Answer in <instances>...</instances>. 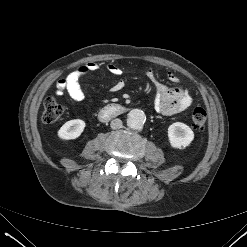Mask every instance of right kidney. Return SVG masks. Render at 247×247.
<instances>
[{"instance_id": "right-kidney-1", "label": "right kidney", "mask_w": 247, "mask_h": 247, "mask_svg": "<svg viewBox=\"0 0 247 247\" xmlns=\"http://www.w3.org/2000/svg\"><path fill=\"white\" fill-rule=\"evenodd\" d=\"M86 124L81 119L67 121L59 130L58 137L63 140H72L78 138L84 131Z\"/></svg>"}]
</instances>
